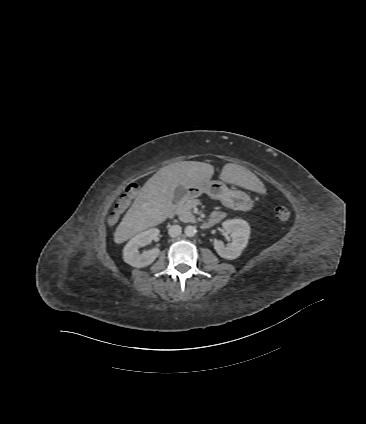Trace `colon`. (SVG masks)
<instances>
[{"mask_svg":"<svg viewBox=\"0 0 366 424\" xmlns=\"http://www.w3.org/2000/svg\"><path fill=\"white\" fill-rule=\"evenodd\" d=\"M139 191L138 184H130L125 192L118 198L112 213H111V221L116 222L119 216L123 213V211L128 207L131 200L137 195ZM276 216L280 220H287L290 217V211L285 206H278L275 209Z\"/></svg>","mask_w":366,"mask_h":424,"instance_id":"obj_1","label":"colon"}]
</instances>
